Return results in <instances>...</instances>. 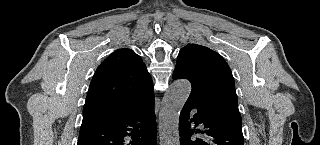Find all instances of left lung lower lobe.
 I'll use <instances>...</instances> for the list:
<instances>
[{"instance_id":"0a47b994","label":"left lung lower lobe","mask_w":320,"mask_h":145,"mask_svg":"<svg viewBox=\"0 0 320 145\" xmlns=\"http://www.w3.org/2000/svg\"><path fill=\"white\" fill-rule=\"evenodd\" d=\"M185 78L192 82L181 71H174L173 79ZM199 85L192 82V91L183 106L179 117L180 145H244L242 126L229 123L212 114L205 108L198 96ZM197 112L192 115L191 110ZM203 124L204 130L200 131L192 124ZM194 133H202L206 139L191 138Z\"/></svg>"}]
</instances>
